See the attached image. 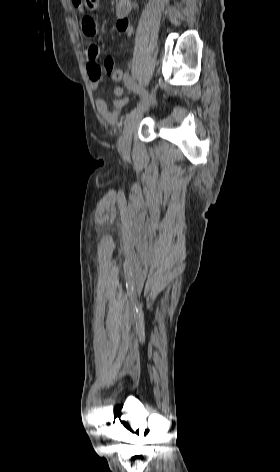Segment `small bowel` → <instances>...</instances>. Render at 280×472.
Here are the masks:
<instances>
[{
	"instance_id": "c3829d8e",
	"label": "small bowel",
	"mask_w": 280,
	"mask_h": 472,
	"mask_svg": "<svg viewBox=\"0 0 280 472\" xmlns=\"http://www.w3.org/2000/svg\"><path fill=\"white\" fill-rule=\"evenodd\" d=\"M74 6L81 13H85V8L82 4L74 2ZM132 4L130 0H119L115 7L116 12V29L128 36L133 34V28L128 20V16L131 13ZM81 28L82 32L87 37H94L97 35L98 28L95 20L87 14L81 19ZM100 55V48L97 44L92 43L86 50L87 57V73L90 79V85L93 90L98 88L100 77L102 74V68L98 62ZM111 59V58H107ZM115 94L117 98L113 99L111 105L109 106L106 101L102 98H97L95 105L99 114L108 122H114L121 109L127 103V99H122L121 97L125 94V88L123 86H117L115 88Z\"/></svg>"
}]
</instances>
